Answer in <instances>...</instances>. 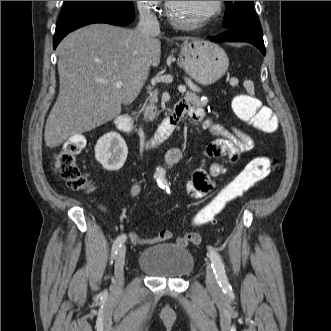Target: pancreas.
<instances>
[{"mask_svg":"<svg viewBox=\"0 0 331 331\" xmlns=\"http://www.w3.org/2000/svg\"><path fill=\"white\" fill-rule=\"evenodd\" d=\"M195 89L196 90L192 92H187L186 99L196 106H206L208 100L207 99L201 100V98L196 94V91H198L197 87H195ZM157 101H158L157 94H152L149 97V104L147 106H144L140 110V112H143L145 119L153 120L154 117L159 113L155 105Z\"/></svg>","mask_w":331,"mask_h":331,"instance_id":"pancreas-1","label":"pancreas"}]
</instances>
